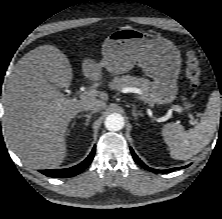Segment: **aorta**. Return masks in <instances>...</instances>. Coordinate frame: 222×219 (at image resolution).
I'll return each mask as SVG.
<instances>
[{
	"mask_svg": "<svg viewBox=\"0 0 222 219\" xmlns=\"http://www.w3.org/2000/svg\"><path fill=\"white\" fill-rule=\"evenodd\" d=\"M105 127L109 131H119L124 127V118L118 113H112L105 119Z\"/></svg>",
	"mask_w": 222,
	"mask_h": 219,
	"instance_id": "obj_1",
	"label": "aorta"
}]
</instances>
